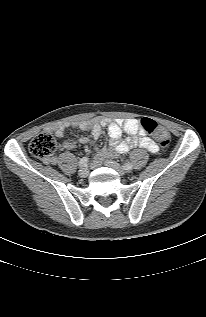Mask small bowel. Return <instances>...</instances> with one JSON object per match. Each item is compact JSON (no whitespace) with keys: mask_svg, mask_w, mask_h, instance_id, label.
I'll use <instances>...</instances> for the list:
<instances>
[{"mask_svg":"<svg viewBox=\"0 0 206 317\" xmlns=\"http://www.w3.org/2000/svg\"><path fill=\"white\" fill-rule=\"evenodd\" d=\"M82 131H89L92 139L81 137L80 143L92 144L100 138L103 133V127L108 128L110 148L99 150L93 164H100L105 158L116 157L123 153L128 152L135 147L145 148L151 153H156L159 148L156 143L147 137L146 132L143 130L141 123L137 119H114L109 120L103 117H97L88 121H80L74 123ZM54 132L58 137L63 136V128L56 127ZM128 134V137L122 139V133ZM66 149H73L75 144L71 140H66L63 143ZM57 160H51V163H56Z\"/></svg>","mask_w":206,"mask_h":317,"instance_id":"obj_1","label":"small bowel"}]
</instances>
